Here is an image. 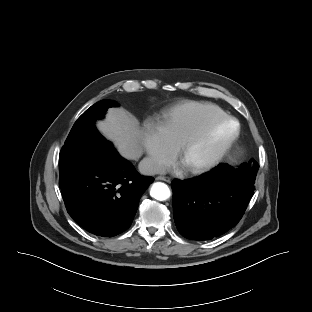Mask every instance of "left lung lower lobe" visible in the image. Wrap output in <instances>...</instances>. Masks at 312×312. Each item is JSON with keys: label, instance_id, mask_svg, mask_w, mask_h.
Listing matches in <instances>:
<instances>
[{"label": "left lung lower lobe", "instance_id": "0a47b994", "mask_svg": "<svg viewBox=\"0 0 312 312\" xmlns=\"http://www.w3.org/2000/svg\"><path fill=\"white\" fill-rule=\"evenodd\" d=\"M173 215L178 231L191 240L218 237L242 218L255 186L227 164L189 180H174Z\"/></svg>", "mask_w": 312, "mask_h": 312}]
</instances>
